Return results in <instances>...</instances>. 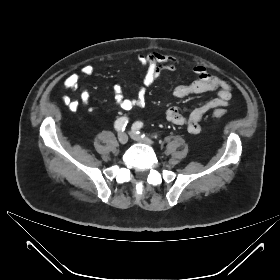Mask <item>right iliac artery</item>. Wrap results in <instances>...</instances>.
Masks as SVG:
<instances>
[{"instance_id":"right-iliac-artery-1","label":"right iliac artery","mask_w":280,"mask_h":280,"mask_svg":"<svg viewBox=\"0 0 280 280\" xmlns=\"http://www.w3.org/2000/svg\"><path fill=\"white\" fill-rule=\"evenodd\" d=\"M128 118L127 117H120L115 121L114 128L118 132H123L127 126Z\"/></svg>"}]
</instances>
